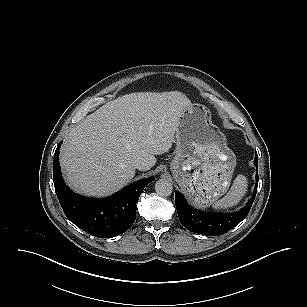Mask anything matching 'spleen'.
I'll return each mask as SVG.
<instances>
[{
    "mask_svg": "<svg viewBox=\"0 0 307 307\" xmlns=\"http://www.w3.org/2000/svg\"><path fill=\"white\" fill-rule=\"evenodd\" d=\"M248 181L244 175H238L229 192L220 200L213 203L212 207L216 210L227 209L237 205L247 192Z\"/></svg>",
    "mask_w": 307,
    "mask_h": 307,
    "instance_id": "3e777b00",
    "label": "spleen"
}]
</instances>
